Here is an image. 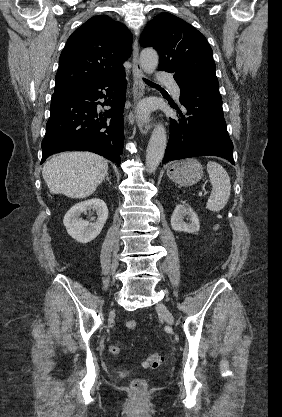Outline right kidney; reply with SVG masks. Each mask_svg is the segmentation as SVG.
Segmentation results:
<instances>
[{
  "mask_svg": "<svg viewBox=\"0 0 282 417\" xmlns=\"http://www.w3.org/2000/svg\"><path fill=\"white\" fill-rule=\"evenodd\" d=\"M85 211H95L97 215L96 223H89V221H82L80 219L81 213ZM108 217V209L101 198H89V200H82L77 202L71 209L67 211L63 223L66 231L72 239L78 243H89L100 235Z\"/></svg>",
  "mask_w": 282,
  "mask_h": 417,
  "instance_id": "ca27d5eb",
  "label": "right kidney"
}]
</instances>
